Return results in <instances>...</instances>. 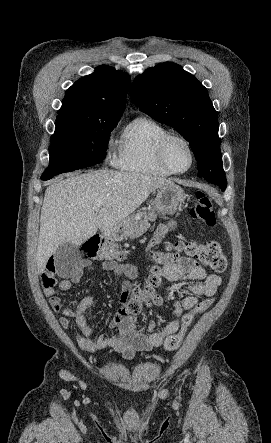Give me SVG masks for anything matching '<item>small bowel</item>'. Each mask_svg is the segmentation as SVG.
Segmentation results:
<instances>
[{
    "instance_id": "obj_1",
    "label": "small bowel",
    "mask_w": 271,
    "mask_h": 443,
    "mask_svg": "<svg viewBox=\"0 0 271 443\" xmlns=\"http://www.w3.org/2000/svg\"><path fill=\"white\" fill-rule=\"evenodd\" d=\"M171 225H161L149 244V259L154 260V248L161 242L164 236L172 228ZM92 269L91 264L84 260L70 277L63 279L57 288L45 289L44 294L54 313L59 314V323L66 329H77L76 340L81 350L95 352L98 350H112L121 353L125 358L131 359L136 353L150 351L160 346L163 340L174 334L180 325L184 312L191 310L198 302L197 296H212L216 293L222 282L220 275L206 273L194 259L178 253L167 254L163 261V275L175 282H187L192 295L182 300H176L173 304L175 318L168 321L161 330L157 324L149 320L143 327L137 324L135 317L128 311L131 284L137 276V269L132 264H119L114 261H106L101 269L111 271L119 280L122 290V308L114 316L111 327L118 329L117 334L104 333L97 339L93 337V330L85 316L86 310L93 304V296L84 297L75 309L63 305L61 299L56 296L57 291H66L78 284L85 270Z\"/></svg>"
}]
</instances>
